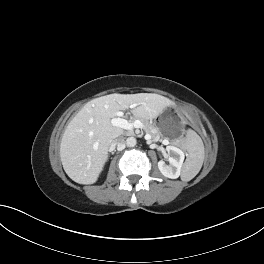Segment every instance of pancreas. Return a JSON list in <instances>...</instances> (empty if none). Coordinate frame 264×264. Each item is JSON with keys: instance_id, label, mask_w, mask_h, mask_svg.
<instances>
[{"instance_id": "1", "label": "pancreas", "mask_w": 264, "mask_h": 264, "mask_svg": "<svg viewBox=\"0 0 264 264\" xmlns=\"http://www.w3.org/2000/svg\"><path fill=\"white\" fill-rule=\"evenodd\" d=\"M135 119H139L143 123L145 131L147 133H149L153 139L160 138V132H159L158 128L154 124H151L148 121H146V120H144V119H142L140 117H136L135 116L134 120Z\"/></svg>"}]
</instances>
